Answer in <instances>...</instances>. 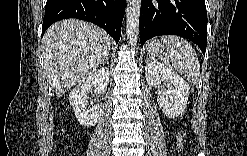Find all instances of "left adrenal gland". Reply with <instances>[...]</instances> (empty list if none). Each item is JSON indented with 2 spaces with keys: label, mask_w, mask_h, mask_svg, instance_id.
Returning a JSON list of instances; mask_svg holds the SVG:
<instances>
[{
  "label": "left adrenal gland",
  "mask_w": 247,
  "mask_h": 156,
  "mask_svg": "<svg viewBox=\"0 0 247 156\" xmlns=\"http://www.w3.org/2000/svg\"><path fill=\"white\" fill-rule=\"evenodd\" d=\"M146 63H148V57H147V59H146Z\"/></svg>",
  "instance_id": "a2214340"
}]
</instances>
